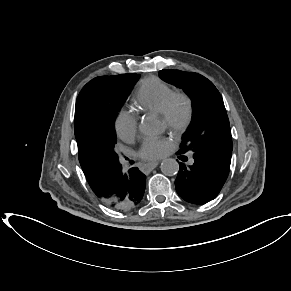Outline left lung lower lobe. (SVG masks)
Here are the masks:
<instances>
[{
  "label": "left lung lower lobe",
  "instance_id": "obj_1",
  "mask_svg": "<svg viewBox=\"0 0 291 291\" xmlns=\"http://www.w3.org/2000/svg\"><path fill=\"white\" fill-rule=\"evenodd\" d=\"M193 158V165L185 166L183 163L179 165L175 188L178 195L186 202L202 205L219 194L229 170L206 160Z\"/></svg>",
  "mask_w": 291,
  "mask_h": 291
}]
</instances>
